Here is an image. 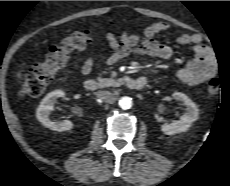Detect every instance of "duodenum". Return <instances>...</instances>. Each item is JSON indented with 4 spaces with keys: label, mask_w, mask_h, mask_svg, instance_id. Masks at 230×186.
<instances>
[{
    "label": "duodenum",
    "mask_w": 230,
    "mask_h": 186,
    "mask_svg": "<svg viewBox=\"0 0 230 186\" xmlns=\"http://www.w3.org/2000/svg\"><path fill=\"white\" fill-rule=\"evenodd\" d=\"M124 82L127 85V87L131 90H141L147 84V80L144 77L133 78V77L127 76L124 78ZM84 87L87 91L95 92L99 90L100 85L94 79H87L84 83Z\"/></svg>",
    "instance_id": "410a0bca"
}]
</instances>
